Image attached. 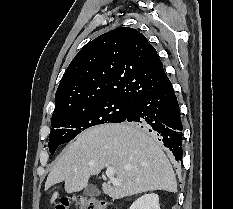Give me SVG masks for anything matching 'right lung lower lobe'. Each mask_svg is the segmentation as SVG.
I'll list each match as a JSON object with an SVG mask.
<instances>
[{
	"mask_svg": "<svg viewBox=\"0 0 233 209\" xmlns=\"http://www.w3.org/2000/svg\"><path fill=\"white\" fill-rule=\"evenodd\" d=\"M124 121L134 122L153 132L182 161V122L180 109L170 81L157 91L138 98Z\"/></svg>",
	"mask_w": 233,
	"mask_h": 209,
	"instance_id": "98d812e1",
	"label": "right lung lower lobe"
}]
</instances>
